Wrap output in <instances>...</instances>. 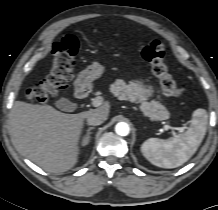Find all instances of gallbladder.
<instances>
[{"label":"gallbladder","mask_w":218,"mask_h":210,"mask_svg":"<svg viewBox=\"0 0 218 210\" xmlns=\"http://www.w3.org/2000/svg\"><path fill=\"white\" fill-rule=\"evenodd\" d=\"M65 101V99H60L59 101L56 102V106L60 109H63L62 103ZM69 110V109H66Z\"/></svg>","instance_id":"obj_1"}]
</instances>
